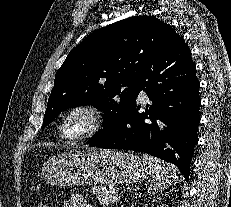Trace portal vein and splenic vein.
<instances>
[{
  "label": "portal vein and splenic vein",
  "instance_id": "1",
  "mask_svg": "<svg viewBox=\"0 0 231 207\" xmlns=\"http://www.w3.org/2000/svg\"><path fill=\"white\" fill-rule=\"evenodd\" d=\"M115 199H116V200L118 199V195L115 197Z\"/></svg>",
  "mask_w": 231,
  "mask_h": 207
}]
</instances>
